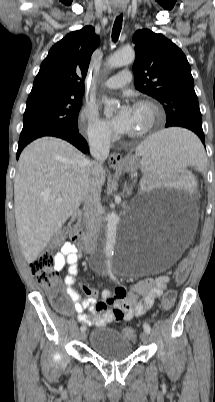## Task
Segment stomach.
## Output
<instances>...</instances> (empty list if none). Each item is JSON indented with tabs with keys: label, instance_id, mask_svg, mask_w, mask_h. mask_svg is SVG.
Listing matches in <instances>:
<instances>
[{
	"label": "stomach",
	"instance_id": "stomach-1",
	"mask_svg": "<svg viewBox=\"0 0 215 402\" xmlns=\"http://www.w3.org/2000/svg\"><path fill=\"white\" fill-rule=\"evenodd\" d=\"M138 168H139V161L137 158L134 157L128 158L121 167L122 170L129 173L136 172Z\"/></svg>",
	"mask_w": 215,
	"mask_h": 402
}]
</instances>
